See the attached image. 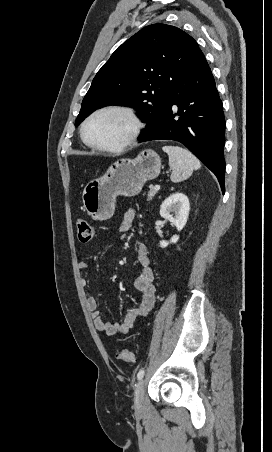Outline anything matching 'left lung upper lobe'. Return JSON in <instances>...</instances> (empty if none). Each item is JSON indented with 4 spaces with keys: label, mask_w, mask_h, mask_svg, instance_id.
<instances>
[{
    "label": "left lung upper lobe",
    "mask_w": 272,
    "mask_h": 452,
    "mask_svg": "<svg viewBox=\"0 0 272 452\" xmlns=\"http://www.w3.org/2000/svg\"><path fill=\"white\" fill-rule=\"evenodd\" d=\"M198 44L167 24L144 27L125 41L102 66L85 95L75 121L79 125L108 105L136 108L141 120L154 124L164 112L173 86Z\"/></svg>",
    "instance_id": "obj_1"
}]
</instances>
